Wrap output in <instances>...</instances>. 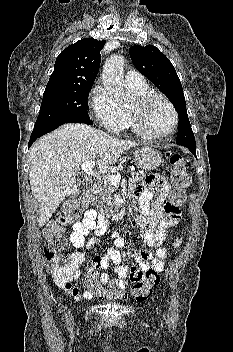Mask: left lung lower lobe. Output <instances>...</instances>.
<instances>
[{
  "label": "left lung lower lobe",
  "mask_w": 233,
  "mask_h": 352,
  "mask_svg": "<svg viewBox=\"0 0 233 352\" xmlns=\"http://www.w3.org/2000/svg\"><path fill=\"white\" fill-rule=\"evenodd\" d=\"M196 156V146H186Z\"/></svg>",
  "instance_id": "1"
}]
</instances>
